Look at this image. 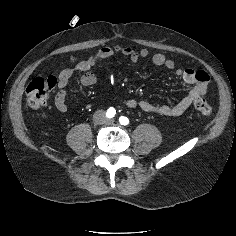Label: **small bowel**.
<instances>
[{"instance_id": "c3829d8e", "label": "small bowel", "mask_w": 236, "mask_h": 236, "mask_svg": "<svg viewBox=\"0 0 236 236\" xmlns=\"http://www.w3.org/2000/svg\"><path fill=\"white\" fill-rule=\"evenodd\" d=\"M116 54H122L128 57L132 62L150 58L154 65L165 67L169 70H175L176 76L181 78L185 83L193 86L188 94L175 104L155 106L146 100L121 99V102L129 108H138L144 112L161 116L177 117L184 114L189 109L193 101L205 95L207 92L209 76L205 71L194 69H175L174 61L167 59L162 53H155L151 55L149 50L146 48L136 50L131 47L115 45L112 47L102 48L86 60L78 62L74 67L66 68L60 72L57 83L58 91L54 97L56 109L62 113L67 111V85L76 72H83V75L80 78V83L82 86L87 87L95 85L98 79L94 73L90 72L91 67L94 66L99 60L110 59Z\"/></svg>"}]
</instances>
